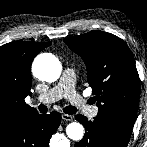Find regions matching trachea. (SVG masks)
I'll list each match as a JSON object with an SVG mask.
<instances>
[{
  "label": "trachea",
  "instance_id": "1",
  "mask_svg": "<svg viewBox=\"0 0 147 147\" xmlns=\"http://www.w3.org/2000/svg\"><path fill=\"white\" fill-rule=\"evenodd\" d=\"M39 110H40L41 113H46L48 109H47V106H45L43 104H40L39 105ZM63 111L66 114L72 115V114H75L77 112V109L74 106H66L63 109Z\"/></svg>",
  "mask_w": 147,
  "mask_h": 147
}]
</instances>
